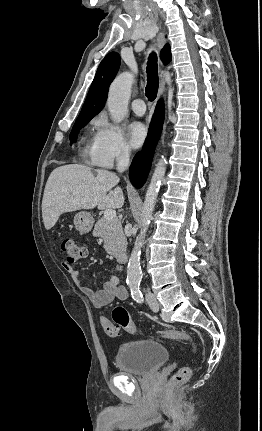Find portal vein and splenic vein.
<instances>
[{
  "label": "portal vein and splenic vein",
  "mask_w": 262,
  "mask_h": 431,
  "mask_svg": "<svg viewBox=\"0 0 262 431\" xmlns=\"http://www.w3.org/2000/svg\"><path fill=\"white\" fill-rule=\"evenodd\" d=\"M104 218L107 220H113L114 218H116V211L112 209L106 210L104 212Z\"/></svg>",
  "instance_id": "portal-vein-and-splenic-vein-1"
}]
</instances>
